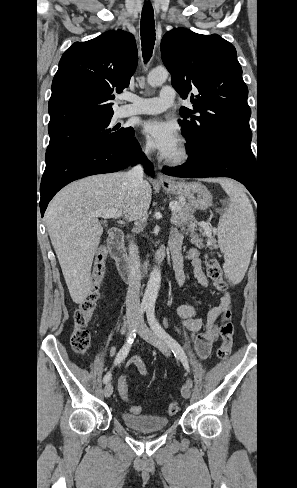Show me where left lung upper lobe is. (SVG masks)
I'll list each match as a JSON object with an SVG mask.
<instances>
[{
	"label": "left lung upper lobe",
	"instance_id": "obj_1",
	"mask_svg": "<svg viewBox=\"0 0 297 488\" xmlns=\"http://www.w3.org/2000/svg\"><path fill=\"white\" fill-rule=\"evenodd\" d=\"M161 55L182 97L196 93L190 97L192 108L179 111L190 158L212 149L254 157L248 88L235 47L217 34L177 28L163 36Z\"/></svg>",
	"mask_w": 297,
	"mask_h": 488
}]
</instances>
